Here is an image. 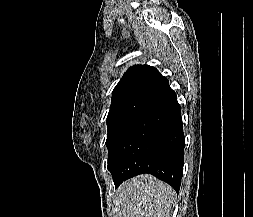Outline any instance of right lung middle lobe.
I'll return each instance as SVG.
<instances>
[{
    "label": "right lung middle lobe",
    "mask_w": 253,
    "mask_h": 217,
    "mask_svg": "<svg viewBox=\"0 0 253 217\" xmlns=\"http://www.w3.org/2000/svg\"><path fill=\"white\" fill-rule=\"evenodd\" d=\"M149 105L147 101L133 100L111 106L107 117L108 161L124 133Z\"/></svg>",
    "instance_id": "1"
}]
</instances>
